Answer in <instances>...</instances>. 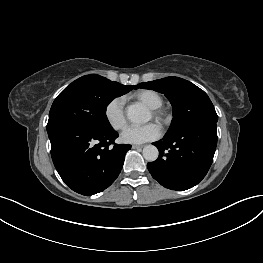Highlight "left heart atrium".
<instances>
[{"label": "left heart atrium", "mask_w": 263, "mask_h": 263, "mask_svg": "<svg viewBox=\"0 0 263 263\" xmlns=\"http://www.w3.org/2000/svg\"><path fill=\"white\" fill-rule=\"evenodd\" d=\"M161 133V128L156 123L131 125L122 132L121 140L129 144H142L158 139Z\"/></svg>", "instance_id": "obj_1"}]
</instances>
